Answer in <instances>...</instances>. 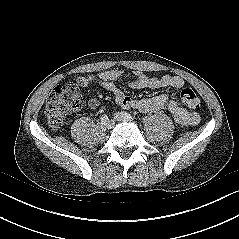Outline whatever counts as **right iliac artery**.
I'll return each mask as SVG.
<instances>
[{"label": "right iliac artery", "mask_w": 239, "mask_h": 239, "mask_svg": "<svg viewBox=\"0 0 239 239\" xmlns=\"http://www.w3.org/2000/svg\"><path fill=\"white\" fill-rule=\"evenodd\" d=\"M108 120L109 119H108L107 115H102V117H101V123L102 124H105Z\"/></svg>", "instance_id": "1"}]
</instances>
